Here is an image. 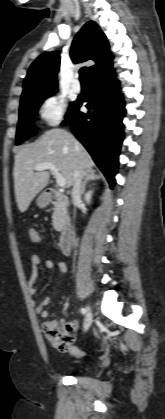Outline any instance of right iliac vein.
I'll return each instance as SVG.
<instances>
[{
    "mask_svg": "<svg viewBox=\"0 0 165 419\" xmlns=\"http://www.w3.org/2000/svg\"><path fill=\"white\" fill-rule=\"evenodd\" d=\"M92 324V312L90 307L86 308V315L84 320V331H87Z\"/></svg>",
    "mask_w": 165,
    "mask_h": 419,
    "instance_id": "obj_1",
    "label": "right iliac vein"
}]
</instances>
